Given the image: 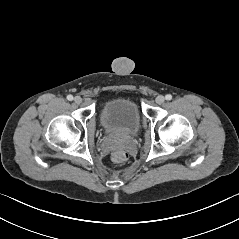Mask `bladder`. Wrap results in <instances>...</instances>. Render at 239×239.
Instances as JSON below:
<instances>
[{"label":"bladder","mask_w":239,"mask_h":239,"mask_svg":"<svg viewBox=\"0 0 239 239\" xmlns=\"http://www.w3.org/2000/svg\"><path fill=\"white\" fill-rule=\"evenodd\" d=\"M100 121L108 134L134 136L141 125V115L137 104L124 97L107 100L100 110Z\"/></svg>","instance_id":"1"}]
</instances>
